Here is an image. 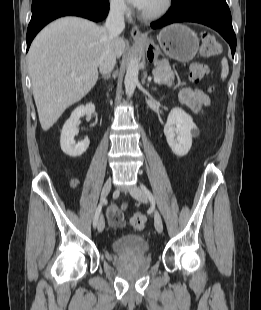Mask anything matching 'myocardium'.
I'll return each instance as SVG.
<instances>
[{
    "instance_id": "f54148a6",
    "label": "myocardium",
    "mask_w": 261,
    "mask_h": 310,
    "mask_svg": "<svg viewBox=\"0 0 261 310\" xmlns=\"http://www.w3.org/2000/svg\"><path fill=\"white\" fill-rule=\"evenodd\" d=\"M173 0H162L160 6L151 12L139 13V16L144 20H155L164 16L172 7Z\"/></svg>"
}]
</instances>
